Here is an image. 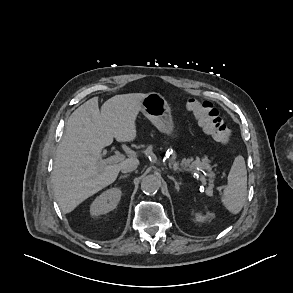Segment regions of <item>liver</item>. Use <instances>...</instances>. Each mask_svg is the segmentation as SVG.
<instances>
[{"instance_id":"6515ba94","label":"liver","mask_w":293,"mask_h":293,"mask_svg":"<svg viewBox=\"0 0 293 293\" xmlns=\"http://www.w3.org/2000/svg\"><path fill=\"white\" fill-rule=\"evenodd\" d=\"M145 94L115 95L98 106L94 97L78 107L66 123L64 138L56 149L51 175L56 201L64 214L112 184L121 163L104 164L99 161L102 149L115 138L130 142L137 136L136 118L142 109Z\"/></svg>"}]
</instances>
